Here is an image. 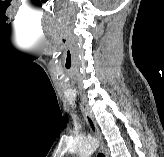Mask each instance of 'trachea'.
Wrapping results in <instances>:
<instances>
[{
  "label": "trachea",
  "mask_w": 164,
  "mask_h": 157,
  "mask_svg": "<svg viewBox=\"0 0 164 157\" xmlns=\"http://www.w3.org/2000/svg\"><path fill=\"white\" fill-rule=\"evenodd\" d=\"M98 157H105V156H104V154L99 153V154H98Z\"/></svg>",
  "instance_id": "1"
}]
</instances>
